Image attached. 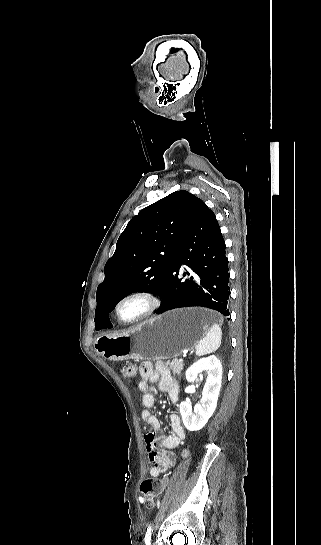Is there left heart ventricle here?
<instances>
[{"label":"left heart ventricle","instance_id":"obj_1","mask_svg":"<svg viewBox=\"0 0 321 545\" xmlns=\"http://www.w3.org/2000/svg\"><path fill=\"white\" fill-rule=\"evenodd\" d=\"M143 310L140 302H130L121 307L120 313L123 318L131 319L139 315Z\"/></svg>","mask_w":321,"mask_h":545}]
</instances>
